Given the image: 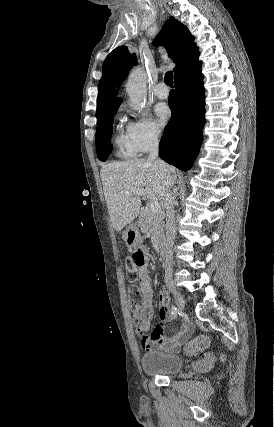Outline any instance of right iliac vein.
Returning <instances> with one entry per match:
<instances>
[{"instance_id": "obj_1", "label": "right iliac vein", "mask_w": 274, "mask_h": 427, "mask_svg": "<svg viewBox=\"0 0 274 427\" xmlns=\"http://www.w3.org/2000/svg\"><path fill=\"white\" fill-rule=\"evenodd\" d=\"M167 285L171 293L174 295V298L179 310L183 311L185 309V303L181 294L179 293L177 288L174 286L173 281L170 280Z\"/></svg>"}]
</instances>
